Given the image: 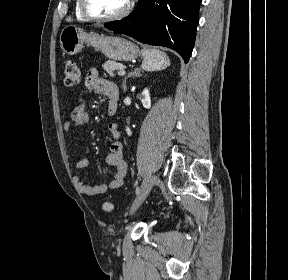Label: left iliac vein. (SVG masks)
I'll use <instances>...</instances> for the list:
<instances>
[{"label": "left iliac vein", "instance_id": "1", "mask_svg": "<svg viewBox=\"0 0 288 280\" xmlns=\"http://www.w3.org/2000/svg\"><path fill=\"white\" fill-rule=\"evenodd\" d=\"M144 186L141 189L140 195L137 196L131 206L130 213H134L138 207L143 203V201L146 199L147 195L149 194L152 186H153V180L151 179H145L143 181Z\"/></svg>", "mask_w": 288, "mask_h": 280}]
</instances>
